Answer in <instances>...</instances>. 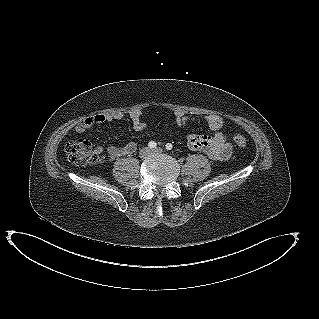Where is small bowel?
Instances as JSON below:
<instances>
[{
  "instance_id": "1",
  "label": "small bowel",
  "mask_w": 319,
  "mask_h": 319,
  "mask_svg": "<svg viewBox=\"0 0 319 319\" xmlns=\"http://www.w3.org/2000/svg\"><path fill=\"white\" fill-rule=\"evenodd\" d=\"M172 116L180 127H186L190 123L204 121L211 130V134H189L186 143L189 149L205 153L215 161L228 160L233 152V146L228 141L227 135L222 131L223 118L218 114H206L203 116H193L182 110H174ZM133 128L141 131L147 127L143 121V112L139 109L133 110L129 114ZM124 114L121 112L102 113L87 117L84 121L76 125L75 131L79 134L84 133L95 125L122 120ZM135 142H129L122 147L110 146L106 150L101 145H97L94 153L97 157L105 152L104 159L111 162L119 157L131 156L136 152Z\"/></svg>"
}]
</instances>
